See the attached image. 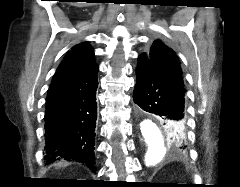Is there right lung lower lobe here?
Returning a JSON list of instances; mask_svg holds the SVG:
<instances>
[{"instance_id": "98d812e1", "label": "right lung lower lobe", "mask_w": 240, "mask_h": 187, "mask_svg": "<svg viewBox=\"0 0 240 187\" xmlns=\"http://www.w3.org/2000/svg\"><path fill=\"white\" fill-rule=\"evenodd\" d=\"M98 66L51 85L46 98L44 160L60 158L95 168Z\"/></svg>"}]
</instances>
